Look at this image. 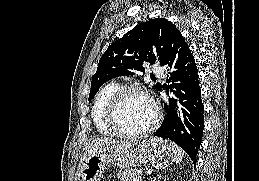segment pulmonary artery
I'll use <instances>...</instances> for the list:
<instances>
[{"label":"pulmonary artery","instance_id":"1","mask_svg":"<svg viewBox=\"0 0 259 181\" xmlns=\"http://www.w3.org/2000/svg\"><path fill=\"white\" fill-rule=\"evenodd\" d=\"M152 70H153V72H154L155 74H157V75H159V76H162V75H163L162 69H161L160 67L156 66V65L153 66Z\"/></svg>","mask_w":259,"mask_h":181}]
</instances>
